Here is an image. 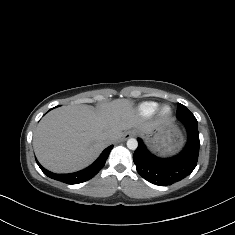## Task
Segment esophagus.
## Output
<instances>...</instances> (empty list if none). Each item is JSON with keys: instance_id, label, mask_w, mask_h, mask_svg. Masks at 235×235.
Instances as JSON below:
<instances>
[{"instance_id": "esophagus-1", "label": "esophagus", "mask_w": 235, "mask_h": 235, "mask_svg": "<svg viewBox=\"0 0 235 235\" xmlns=\"http://www.w3.org/2000/svg\"><path fill=\"white\" fill-rule=\"evenodd\" d=\"M136 135V133L132 130L126 131L125 134L122 137V140L125 141L131 137H134Z\"/></svg>"}]
</instances>
